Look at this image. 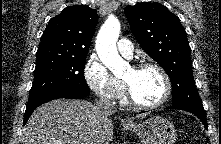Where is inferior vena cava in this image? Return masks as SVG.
Returning a JSON list of instances; mask_svg holds the SVG:
<instances>
[{
    "instance_id": "602c4592",
    "label": "inferior vena cava",
    "mask_w": 221,
    "mask_h": 144,
    "mask_svg": "<svg viewBox=\"0 0 221 144\" xmlns=\"http://www.w3.org/2000/svg\"><path fill=\"white\" fill-rule=\"evenodd\" d=\"M98 106L104 114H112L116 112L115 105L110 99L101 98L98 102Z\"/></svg>"
}]
</instances>
